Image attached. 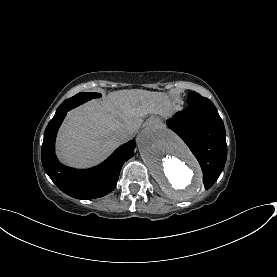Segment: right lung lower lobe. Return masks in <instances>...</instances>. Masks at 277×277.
Listing matches in <instances>:
<instances>
[{
    "label": "right lung lower lobe",
    "instance_id": "98d812e1",
    "mask_svg": "<svg viewBox=\"0 0 277 277\" xmlns=\"http://www.w3.org/2000/svg\"><path fill=\"white\" fill-rule=\"evenodd\" d=\"M67 108L56 111L44 133L41 156L44 170L67 195L77 199H93L107 195L116 187L123 164L133 156L135 141L120 146L106 161L97 167L78 170L63 166L57 160L54 144L57 131Z\"/></svg>",
    "mask_w": 277,
    "mask_h": 277
}]
</instances>
